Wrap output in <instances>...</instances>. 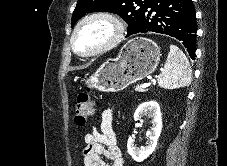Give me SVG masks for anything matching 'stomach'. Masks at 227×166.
I'll return each mask as SVG.
<instances>
[{"mask_svg":"<svg viewBox=\"0 0 227 166\" xmlns=\"http://www.w3.org/2000/svg\"><path fill=\"white\" fill-rule=\"evenodd\" d=\"M160 47L151 39L129 40L116 58L105 61L85 83L102 92H118L144 79L158 66Z\"/></svg>","mask_w":227,"mask_h":166,"instance_id":"stomach-1","label":"stomach"}]
</instances>
